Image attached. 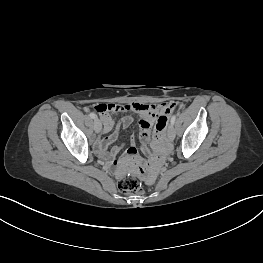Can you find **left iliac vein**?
Here are the masks:
<instances>
[{"instance_id": "obj_1", "label": "left iliac vein", "mask_w": 263, "mask_h": 263, "mask_svg": "<svg viewBox=\"0 0 263 263\" xmlns=\"http://www.w3.org/2000/svg\"><path fill=\"white\" fill-rule=\"evenodd\" d=\"M168 138L170 139V140H174V138H175V129H174V126L173 125H169V127H168Z\"/></svg>"}]
</instances>
